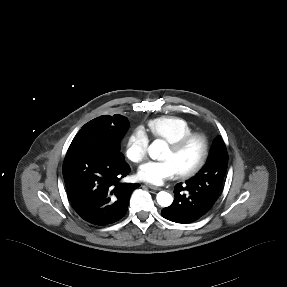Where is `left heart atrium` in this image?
Masks as SVG:
<instances>
[{
    "mask_svg": "<svg viewBox=\"0 0 287 287\" xmlns=\"http://www.w3.org/2000/svg\"><path fill=\"white\" fill-rule=\"evenodd\" d=\"M178 175V171L171 161H149L142 164L137 171V178L152 185H161L164 181Z\"/></svg>",
    "mask_w": 287,
    "mask_h": 287,
    "instance_id": "39dd6f15",
    "label": "left heart atrium"
}]
</instances>
